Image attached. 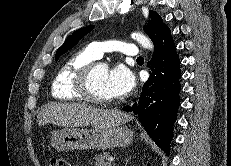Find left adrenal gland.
I'll list each match as a JSON object with an SVG mask.
<instances>
[{"instance_id":"a2214340","label":"left adrenal gland","mask_w":231,"mask_h":166,"mask_svg":"<svg viewBox=\"0 0 231 166\" xmlns=\"http://www.w3.org/2000/svg\"><path fill=\"white\" fill-rule=\"evenodd\" d=\"M131 160V157H128V158H126L125 159V164H124V166H127L128 164H129V161Z\"/></svg>"}]
</instances>
